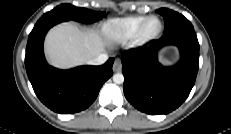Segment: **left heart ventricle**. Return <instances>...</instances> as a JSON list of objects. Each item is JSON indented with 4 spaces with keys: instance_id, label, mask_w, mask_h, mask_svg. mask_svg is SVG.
<instances>
[{
    "instance_id": "left-heart-ventricle-1",
    "label": "left heart ventricle",
    "mask_w": 231,
    "mask_h": 134,
    "mask_svg": "<svg viewBox=\"0 0 231 134\" xmlns=\"http://www.w3.org/2000/svg\"><path fill=\"white\" fill-rule=\"evenodd\" d=\"M159 29V22L157 20H153L148 24L147 34H154Z\"/></svg>"
}]
</instances>
